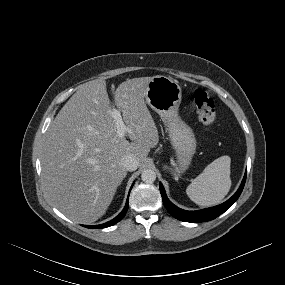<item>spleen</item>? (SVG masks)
I'll use <instances>...</instances> for the list:
<instances>
[{"label":"spleen","instance_id":"3e777b00","mask_svg":"<svg viewBox=\"0 0 285 285\" xmlns=\"http://www.w3.org/2000/svg\"><path fill=\"white\" fill-rule=\"evenodd\" d=\"M229 156H221L205 167L187 187L188 197L201 206L218 204L231 187Z\"/></svg>","mask_w":285,"mask_h":285}]
</instances>
